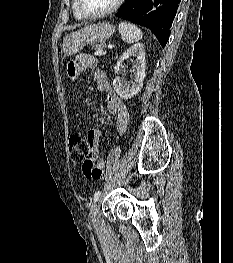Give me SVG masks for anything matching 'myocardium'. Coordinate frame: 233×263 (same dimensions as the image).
Listing matches in <instances>:
<instances>
[{
  "mask_svg": "<svg viewBox=\"0 0 233 263\" xmlns=\"http://www.w3.org/2000/svg\"><path fill=\"white\" fill-rule=\"evenodd\" d=\"M125 0H116L114 2V4L109 7L108 9L102 11V12H99V13H88L86 12L83 7H82V1L81 0H76V6H77V9L79 11V13L81 14V16H83L84 18H88V19H98V18H103V17H106L114 12H116L120 7L121 5L123 4Z\"/></svg>",
  "mask_w": 233,
  "mask_h": 263,
  "instance_id": "f54148a6",
  "label": "myocardium"
}]
</instances>
